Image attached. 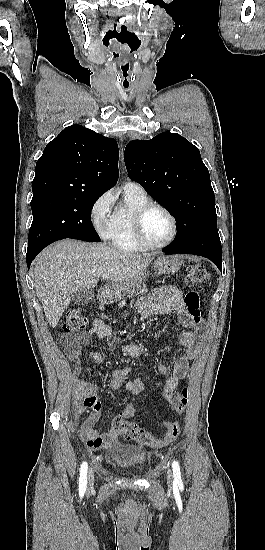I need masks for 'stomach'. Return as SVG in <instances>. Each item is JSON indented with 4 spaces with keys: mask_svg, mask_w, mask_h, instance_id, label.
Returning <instances> with one entry per match:
<instances>
[{
    "mask_svg": "<svg viewBox=\"0 0 265 550\" xmlns=\"http://www.w3.org/2000/svg\"><path fill=\"white\" fill-rule=\"evenodd\" d=\"M181 265L182 261L176 256L160 255L154 260L153 268L158 274H173L180 270ZM145 277L146 272L144 271L139 277L129 283V286L124 290V293L140 285Z\"/></svg>",
    "mask_w": 265,
    "mask_h": 550,
    "instance_id": "0dacf381",
    "label": "stomach"
}]
</instances>
